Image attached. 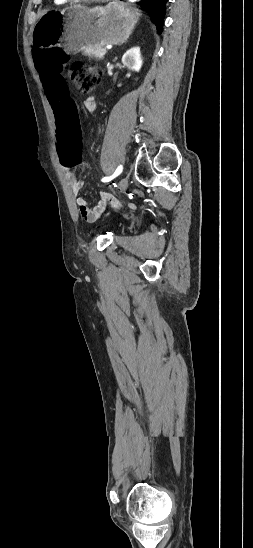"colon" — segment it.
I'll list each match as a JSON object with an SVG mask.
<instances>
[{"instance_id":"1","label":"colon","mask_w":253,"mask_h":548,"mask_svg":"<svg viewBox=\"0 0 253 548\" xmlns=\"http://www.w3.org/2000/svg\"><path fill=\"white\" fill-rule=\"evenodd\" d=\"M35 71L41 79V95L47 96V104L52 106L53 119L57 124L58 142L55 152L60 157L61 166L82 164L87 171L92 166L81 157L80 140L81 129L78 125L79 106L73 98V90L68 88L66 76V60H50L54 57H63L57 50L35 49ZM71 80L75 91L80 95L90 93L99 81V74L93 68L76 61L70 68ZM96 173L94 170L91 172Z\"/></svg>"}]
</instances>
